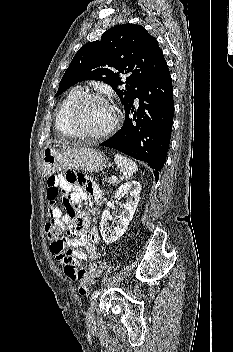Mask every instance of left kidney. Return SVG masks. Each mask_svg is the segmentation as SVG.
<instances>
[{"label":"left kidney","instance_id":"left-kidney-1","mask_svg":"<svg viewBox=\"0 0 233 352\" xmlns=\"http://www.w3.org/2000/svg\"><path fill=\"white\" fill-rule=\"evenodd\" d=\"M141 192V185L138 181H130L122 184L115 193V200L119 201L122 197L126 196L127 200L121 205L123 211L118 216L116 226L110 227L109 221L111 214L109 210L102 213L100 223L101 235L106 243H113L117 241L127 230L130 221L132 220L136 211L139 196Z\"/></svg>","mask_w":233,"mask_h":352}]
</instances>
